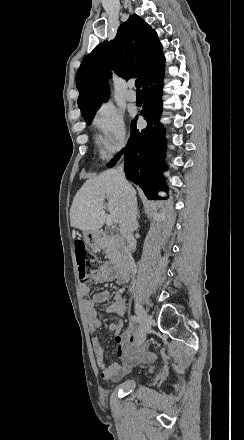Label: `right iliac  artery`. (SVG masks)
I'll list each match as a JSON object with an SVG mask.
<instances>
[{"label": "right iliac artery", "mask_w": 244, "mask_h": 440, "mask_svg": "<svg viewBox=\"0 0 244 440\" xmlns=\"http://www.w3.org/2000/svg\"><path fill=\"white\" fill-rule=\"evenodd\" d=\"M131 320H132L133 322L137 323V324H141V320H140V318H139L138 316H136V315H132V316H131Z\"/></svg>", "instance_id": "obj_1"}]
</instances>
